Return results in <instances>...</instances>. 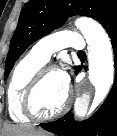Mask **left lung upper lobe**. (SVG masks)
<instances>
[{
  "instance_id": "1",
  "label": "left lung upper lobe",
  "mask_w": 117,
  "mask_h": 136,
  "mask_svg": "<svg viewBox=\"0 0 117 136\" xmlns=\"http://www.w3.org/2000/svg\"><path fill=\"white\" fill-rule=\"evenodd\" d=\"M72 15L89 16L105 28L117 15V0H30L21 11L10 42L4 79L32 43L63 25Z\"/></svg>"
}]
</instances>
